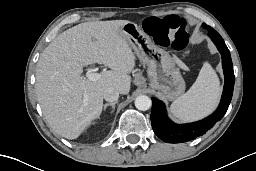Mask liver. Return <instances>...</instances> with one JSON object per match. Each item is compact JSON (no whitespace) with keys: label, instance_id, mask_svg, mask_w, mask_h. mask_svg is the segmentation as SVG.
<instances>
[{"label":"liver","instance_id":"1","mask_svg":"<svg viewBox=\"0 0 256 171\" xmlns=\"http://www.w3.org/2000/svg\"><path fill=\"white\" fill-rule=\"evenodd\" d=\"M128 22L78 24L59 34L42 52L36 69V94L45 119L60 136L76 139L100 117L106 88L129 93L135 55L120 30ZM94 63L111 70L89 81L81 74L84 66Z\"/></svg>","mask_w":256,"mask_h":171}]
</instances>
